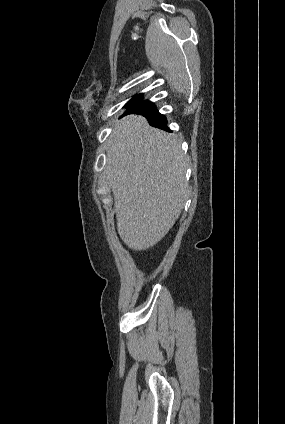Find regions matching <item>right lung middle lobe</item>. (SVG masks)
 <instances>
[{"mask_svg":"<svg viewBox=\"0 0 285 424\" xmlns=\"http://www.w3.org/2000/svg\"><path fill=\"white\" fill-rule=\"evenodd\" d=\"M141 98H142V94L135 95L130 101H128V103L125 104L124 107L130 106L132 103H134L138 100H141Z\"/></svg>","mask_w":285,"mask_h":424,"instance_id":"obj_1","label":"right lung middle lobe"}]
</instances>
